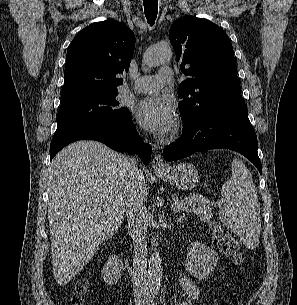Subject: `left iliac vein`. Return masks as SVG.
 I'll use <instances>...</instances> for the list:
<instances>
[{
    "mask_svg": "<svg viewBox=\"0 0 297 305\" xmlns=\"http://www.w3.org/2000/svg\"><path fill=\"white\" fill-rule=\"evenodd\" d=\"M147 305H154L153 303H149V304H147Z\"/></svg>",
    "mask_w": 297,
    "mask_h": 305,
    "instance_id": "obj_1",
    "label": "left iliac vein"
}]
</instances>
